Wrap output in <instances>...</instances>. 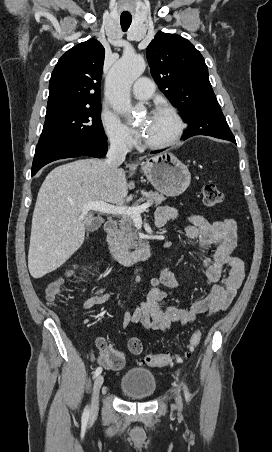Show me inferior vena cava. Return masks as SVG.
Listing matches in <instances>:
<instances>
[{"label": "inferior vena cava", "mask_w": 272, "mask_h": 452, "mask_svg": "<svg viewBox=\"0 0 272 452\" xmlns=\"http://www.w3.org/2000/svg\"><path fill=\"white\" fill-rule=\"evenodd\" d=\"M128 152L129 148L123 140L112 138L110 140V148L107 153L106 163L112 170H115L125 160Z\"/></svg>", "instance_id": "obj_1"}]
</instances>
